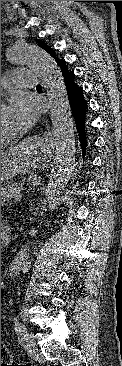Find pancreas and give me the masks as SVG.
Returning <instances> with one entry per match:
<instances>
[{"label":"pancreas","mask_w":122,"mask_h":366,"mask_svg":"<svg viewBox=\"0 0 122 366\" xmlns=\"http://www.w3.org/2000/svg\"><path fill=\"white\" fill-rule=\"evenodd\" d=\"M17 190H22V188L18 187L16 184H10L7 186L1 187V200L7 199V197L11 196Z\"/></svg>","instance_id":"cf45deb5"}]
</instances>
